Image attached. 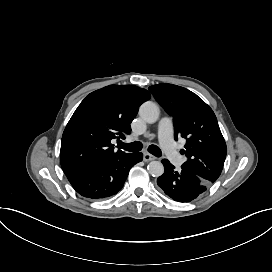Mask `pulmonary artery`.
Here are the masks:
<instances>
[{"label": "pulmonary artery", "mask_w": 272, "mask_h": 272, "mask_svg": "<svg viewBox=\"0 0 272 272\" xmlns=\"http://www.w3.org/2000/svg\"><path fill=\"white\" fill-rule=\"evenodd\" d=\"M173 123L171 119H163L159 123L158 127V138L160 141V145L162 146V151L165 154H168V157L172 160V162L178 166L183 167L185 165V160L180 157L178 153V149L175 147L173 143Z\"/></svg>", "instance_id": "1"}]
</instances>
